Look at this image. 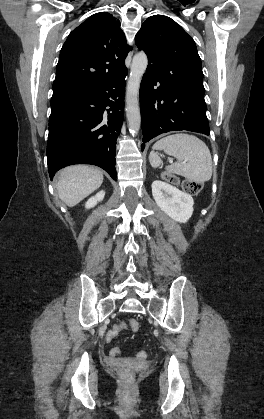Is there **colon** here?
Wrapping results in <instances>:
<instances>
[{"label": "colon", "instance_id": "5ec220e1", "mask_svg": "<svg viewBox=\"0 0 264 419\" xmlns=\"http://www.w3.org/2000/svg\"><path fill=\"white\" fill-rule=\"evenodd\" d=\"M164 179L166 181H169L171 183H177L178 180L176 177H174L173 175L169 174V173H164L163 175ZM202 185L197 182V181H193V180H184L182 182V189L184 190V192L191 194V195H196L201 191ZM124 327H127L129 330L135 332L139 329V323L137 320L135 319H131L127 322V324L124 325ZM138 357L141 359H146L148 357V353L146 351H139L138 352ZM122 375L124 378H128L129 377V373L127 370H123L122 371Z\"/></svg>", "mask_w": 264, "mask_h": 419}]
</instances>
